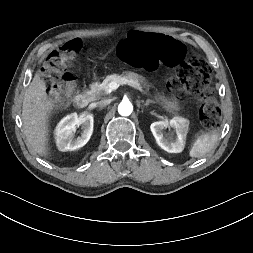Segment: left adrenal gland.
<instances>
[{"mask_svg": "<svg viewBox=\"0 0 253 253\" xmlns=\"http://www.w3.org/2000/svg\"><path fill=\"white\" fill-rule=\"evenodd\" d=\"M144 106H149L150 103H153L151 100H147L146 102L142 101Z\"/></svg>", "mask_w": 253, "mask_h": 253, "instance_id": "left-adrenal-gland-1", "label": "left adrenal gland"}]
</instances>
